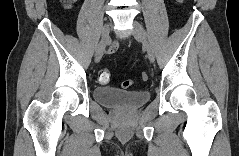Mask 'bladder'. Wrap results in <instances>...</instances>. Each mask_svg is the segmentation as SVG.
<instances>
[{"instance_id": "obj_1", "label": "bladder", "mask_w": 239, "mask_h": 156, "mask_svg": "<svg viewBox=\"0 0 239 156\" xmlns=\"http://www.w3.org/2000/svg\"><path fill=\"white\" fill-rule=\"evenodd\" d=\"M96 102L108 107H124L136 109L147 103L150 92L146 89L138 91H123L115 87H96L93 91Z\"/></svg>"}]
</instances>
